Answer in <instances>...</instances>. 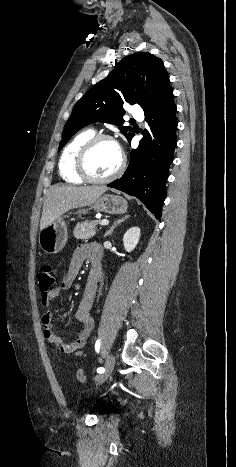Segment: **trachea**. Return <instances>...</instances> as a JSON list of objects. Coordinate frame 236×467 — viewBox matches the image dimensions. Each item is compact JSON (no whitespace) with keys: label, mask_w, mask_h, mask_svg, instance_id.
<instances>
[{"label":"trachea","mask_w":236,"mask_h":467,"mask_svg":"<svg viewBox=\"0 0 236 467\" xmlns=\"http://www.w3.org/2000/svg\"><path fill=\"white\" fill-rule=\"evenodd\" d=\"M130 122H135V120H134V119H131Z\"/></svg>","instance_id":"obj_1"}]
</instances>
